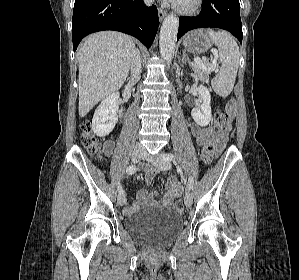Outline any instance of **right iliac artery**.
Masks as SVG:
<instances>
[{
	"label": "right iliac artery",
	"mask_w": 299,
	"mask_h": 280,
	"mask_svg": "<svg viewBox=\"0 0 299 280\" xmlns=\"http://www.w3.org/2000/svg\"><path fill=\"white\" fill-rule=\"evenodd\" d=\"M135 171H136V166L135 165H130L126 169L127 175H132V174L135 173ZM117 190H118L119 193H123L124 192L123 188L120 185H118Z\"/></svg>",
	"instance_id": "82829eb1"
}]
</instances>
